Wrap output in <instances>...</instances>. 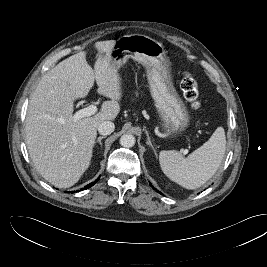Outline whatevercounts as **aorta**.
<instances>
[{"label":"aorta","instance_id":"aorta-1","mask_svg":"<svg viewBox=\"0 0 267 267\" xmlns=\"http://www.w3.org/2000/svg\"><path fill=\"white\" fill-rule=\"evenodd\" d=\"M121 146L130 148L135 144V137L132 134H123L119 140Z\"/></svg>","mask_w":267,"mask_h":267}]
</instances>
